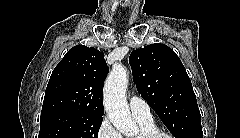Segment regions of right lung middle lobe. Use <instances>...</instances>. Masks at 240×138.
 I'll list each match as a JSON object with an SVG mask.
<instances>
[{"label":"right lung middle lobe","mask_w":240,"mask_h":138,"mask_svg":"<svg viewBox=\"0 0 240 138\" xmlns=\"http://www.w3.org/2000/svg\"><path fill=\"white\" fill-rule=\"evenodd\" d=\"M102 117L56 112L40 118L39 138H98Z\"/></svg>","instance_id":"obj_1"}]
</instances>
